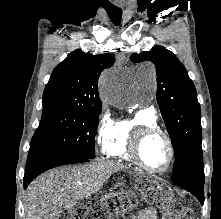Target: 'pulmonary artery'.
I'll list each match as a JSON object with an SVG mask.
<instances>
[{"label":"pulmonary artery","mask_w":221,"mask_h":219,"mask_svg":"<svg viewBox=\"0 0 221 219\" xmlns=\"http://www.w3.org/2000/svg\"><path fill=\"white\" fill-rule=\"evenodd\" d=\"M146 110H148V111H150V112L155 113V110H154V108H153V107H148Z\"/></svg>","instance_id":"1"}]
</instances>
